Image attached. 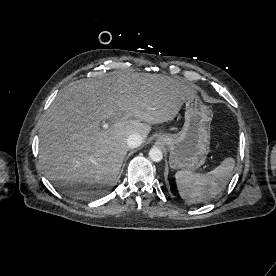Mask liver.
Masks as SVG:
<instances>
[{"label": "liver", "instance_id": "6515ba94", "mask_svg": "<svg viewBox=\"0 0 276 276\" xmlns=\"http://www.w3.org/2000/svg\"><path fill=\"white\" fill-rule=\"evenodd\" d=\"M195 96L187 84L161 74L116 73L71 83L40 125L39 158L46 177L74 198L103 194L118 178L127 138L137 133L145 140L151 125L172 121ZM101 121L110 123L107 129Z\"/></svg>", "mask_w": 276, "mask_h": 276}]
</instances>
